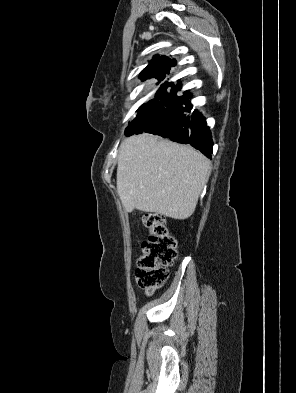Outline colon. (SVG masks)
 <instances>
[{
    "label": "colon",
    "instance_id": "5ec220e1",
    "mask_svg": "<svg viewBox=\"0 0 296 393\" xmlns=\"http://www.w3.org/2000/svg\"><path fill=\"white\" fill-rule=\"evenodd\" d=\"M142 221L149 231V237L141 243L136 279L147 294H152L167 280L168 267L176 257V240L163 215L145 213Z\"/></svg>",
    "mask_w": 296,
    "mask_h": 393
}]
</instances>
